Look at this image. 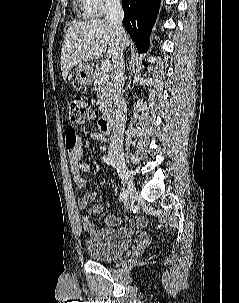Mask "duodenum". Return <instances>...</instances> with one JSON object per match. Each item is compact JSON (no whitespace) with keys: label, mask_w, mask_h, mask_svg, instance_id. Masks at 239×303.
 I'll return each instance as SVG.
<instances>
[{"label":"duodenum","mask_w":239,"mask_h":303,"mask_svg":"<svg viewBox=\"0 0 239 303\" xmlns=\"http://www.w3.org/2000/svg\"><path fill=\"white\" fill-rule=\"evenodd\" d=\"M99 129L104 134H111L113 131V117L112 114L106 113L102 115L98 121Z\"/></svg>","instance_id":"1"}]
</instances>
